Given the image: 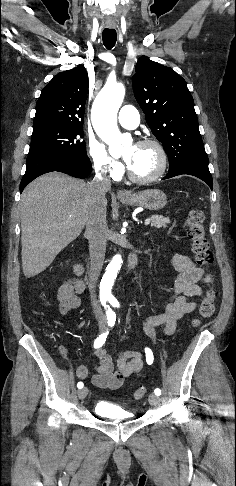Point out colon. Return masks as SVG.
<instances>
[{
    "label": "colon",
    "mask_w": 236,
    "mask_h": 486,
    "mask_svg": "<svg viewBox=\"0 0 236 486\" xmlns=\"http://www.w3.org/2000/svg\"><path fill=\"white\" fill-rule=\"evenodd\" d=\"M186 233L192 244V252L194 253L197 263L209 269L214 261L213 253L210 248V243L206 237L204 227V214L198 208H191L186 216ZM214 280V273L208 271L207 281L212 283ZM217 293L213 288H210L199 306L198 317L193 321L194 326H198L202 320L210 318L215 311V300ZM146 394V389L141 387L134 391L133 398L135 400L142 399Z\"/></svg>",
    "instance_id": "5ec220e1"
}]
</instances>
